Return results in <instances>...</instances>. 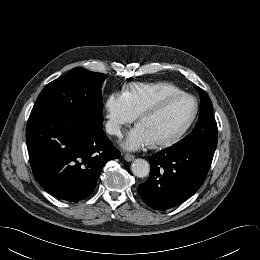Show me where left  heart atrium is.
<instances>
[{
  "label": "left heart atrium",
  "mask_w": 260,
  "mask_h": 260,
  "mask_svg": "<svg viewBox=\"0 0 260 260\" xmlns=\"http://www.w3.org/2000/svg\"><path fill=\"white\" fill-rule=\"evenodd\" d=\"M153 143V138L141 125L132 129L122 141V146L128 150H138Z\"/></svg>",
  "instance_id": "obj_1"
}]
</instances>
